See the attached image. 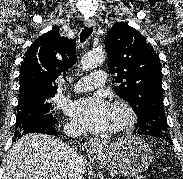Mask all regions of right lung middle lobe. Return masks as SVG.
<instances>
[{"label":"right lung middle lobe","mask_w":183,"mask_h":179,"mask_svg":"<svg viewBox=\"0 0 183 179\" xmlns=\"http://www.w3.org/2000/svg\"><path fill=\"white\" fill-rule=\"evenodd\" d=\"M52 97L54 95L19 99L14 136L28 129L51 126L56 123V118L53 116V107L49 103V99Z\"/></svg>","instance_id":"1"}]
</instances>
